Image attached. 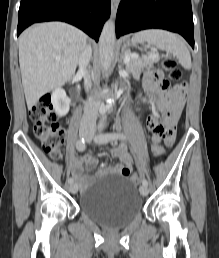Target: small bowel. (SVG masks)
Segmentation results:
<instances>
[{
	"label": "small bowel",
	"mask_w": 219,
	"mask_h": 258,
	"mask_svg": "<svg viewBox=\"0 0 219 258\" xmlns=\"http://www.w3.org/2000/svg\"><path fill=\"white\" fill-rule=\"evenodd\" d=\"M144 86L151 94L158 95V106L165 113L163 123H158L157 118H146L145 127H149V133L154 134L153 141L155 143L163 140L167 146H172L175 140L176 125L184 106L186 90L178 86L170 89L163 81L159 70L147 72ZM116 127L119 128V124H116ZM112 156V162H117L118 158L121 162H118L115 167H108L102 171H118L120 176H128L132 173L133 159L124 144H120L112 152ZM71 163L72 175L81 189H87L91 183V178L83 173V169L95 168L98 164L97 158L87 154L80 158H71Z\"/></svg>",
	"instance_id": "small-bowel-1"
}]
</instances>
